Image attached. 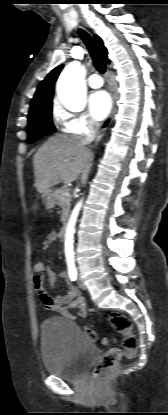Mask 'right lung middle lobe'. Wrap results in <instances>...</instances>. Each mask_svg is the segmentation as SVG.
Listing matches in <instances>:
<instances>
[{
	"instance_id": "dd1d6c3e",
	"label": "right lung middle lobe",
	"mask_w": 168,
	"mask_h": 415,
	"mask_svg": "<svg viewBox=\"0 0 168 415\" xmlns=\"http://www.w3.org/2000/svg\"><path fill=\"white\" fill-rule=\"evenodd\" d=\"M52 104L42 106L29 112L28 143H33L40 137L56 131L52 124Z\"/></svg>"
}]
</instances>
